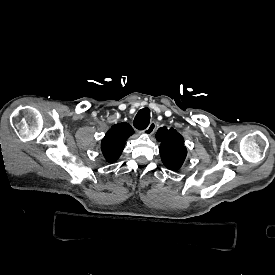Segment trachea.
I'll use <instances>...</instances> for the list:
<instances>
[{"label": "trachea", "mask_w": 275, "mask_h": 275, "mask_svg": "<svg viewBox=\"0 0 275 275\" xmlns=\"http://www.w3.org/2000/svg\"><path fill=\"white\" fill-rule=\"evenodd\" d=\"M150 122V110L149 108H143L139 110L134 119V127L138 130H144L147 128Z\"/></svg>", "instance_id": "1"}]
</instances>
